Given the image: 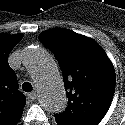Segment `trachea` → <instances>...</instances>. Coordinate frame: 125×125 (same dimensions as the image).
Segmentation results:
<instances>
[{
	"instance_id": "trachea-1",
	"label": "trachea",
	"mask_w": 125,
	"mask_h": 125,
	"mask_svg": "<svg viewBox=\"0 0 125 125\" xmlns=\"http://www.w3.org/2000/svg\"><path fill=\"white\" fill-rule=\"evenodd\" d=\"M22 89H23V91H25V92H31V91L33 90V87H32V85H31V83H29V82H24V83L22 84Z\"/></svg>"
}]
</instances>
